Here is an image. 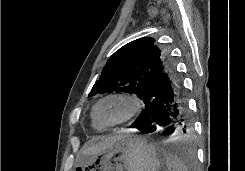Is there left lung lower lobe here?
Segmentation results:
<instances>
[{
	"mask_svg": "<svg viewBox=\"0 0 245 171\" xmlns=\"http://www.w3.org/2000/svg\"><path fill=\"white\" fill-rule=\"evenodd\" d=\"M145 109L132 128L148 134L156 126L165 127L167 135L186 133L188 125V105L183 84L173 66L168 63L165 70L145 89L141 98Z\"/></svg>",
	"mask_w": 245,
	"mask_h": 171,
	"instance_id": "1",
	"label": "left lung lower lobe"
}]
</instances>
